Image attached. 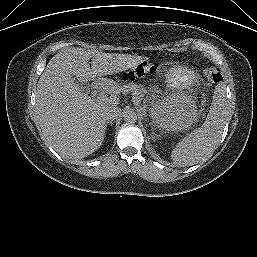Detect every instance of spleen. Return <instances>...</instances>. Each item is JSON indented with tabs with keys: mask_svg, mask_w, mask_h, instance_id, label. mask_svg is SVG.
<instances>
[{
	"mask_svg": "<svg viewBox=\"0 0 257 257\" xmlns=\"http://www.w3.org/2000/svg\"><path fill=\"white\" fill-rule=\"evenodd\" d=\"M228 118V105L223 85L215 88L205 122L183 137L171 152L178 166H192L207 160L216 150Z\"/></svg>",
	"mask_w": 257,
	"mask_h": 257,
	"instance_id": "1",
	"label": "spleen"
}]
</instances>
